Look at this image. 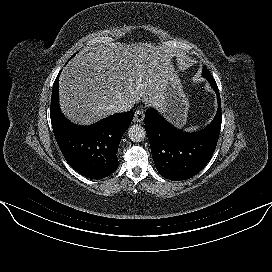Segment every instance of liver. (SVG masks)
<instances>
[{
    "instance_id": "1",
    "label": "liver",
    "mask_w": 272,
    "mask_h": 272,
    "mask_svg": "<svg viewBox=\"0 0 272 272\" xmlns=\"http://www.w3.org/2000/svg\"><path fill=\"white\" fill-rule=\"evenodd\" d=\"M173 54L161 45L109 43L89 48L63 69L60 108L72 122L92 124L122 102L160 109Z\"/></svg>"
}]
</instances>
